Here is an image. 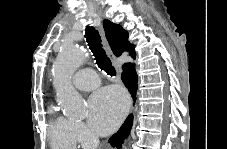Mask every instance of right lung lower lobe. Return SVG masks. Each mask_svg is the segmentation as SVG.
<instances>
[{
  "label": "right lung lower lobe",
  "mask_w": 227,
  "mask_h": 149,
  "mask_svg": "<svg viewBox=\"0 0 227 149\" xmlns=\"http://www.w3.org/2000/svg\"><path fill=\"white\" fill-rule=\"evenodd\" d=\"M123 73H122V80L125 84V86L129 89L130 93L132 94V97L135 98L136 90H137V74L134 70V65L131 63H127L123 66ZM135 101V99H134ZM132 121L133 116L130 115L125 120L122 127L118 130L116 134L112 136V138L109 139V143L114 147H121V144L123 143V139H125L132 127Z\"/></svg>",
  "instance_id": "right-lung-lower-lobe-1"
}]
</instances>
